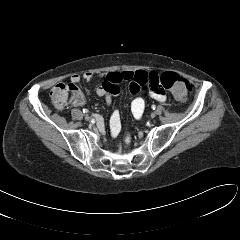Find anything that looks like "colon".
<instances>
[{"mask_svg":"<svg viewBox=\"0 0 240 240\" xmlns=\"http://www.w3.org/2000/svg\"><path fill=\"white\" fill-rule=\"evenodd\" d=\"M160 83L163 88L170 90L174 97L184 101L191 92V84L176 73L166 72L160 76ZM81 94L78 86L74 84H57L50 92V98L55 107L62 109L69 102Z\"/></svg>","mask_w":240,"mask_h":240,"instance_id":"colon-1","label":"colon"}]
</instances>
